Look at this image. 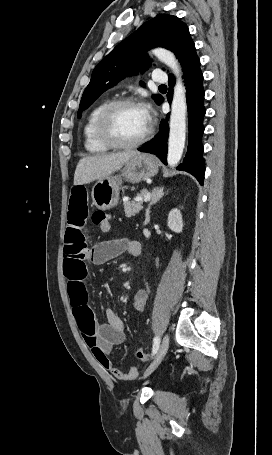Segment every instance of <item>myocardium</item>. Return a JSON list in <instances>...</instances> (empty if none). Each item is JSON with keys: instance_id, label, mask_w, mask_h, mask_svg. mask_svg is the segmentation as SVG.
Here are the masks:
<instances>
[{"instance_id": "1", "label": "myocardium", "mask_w": 272, "mask_h": 455, "mask_svg": "<svg viewBox=\"0 0 272 455\" xmlns=\"http://www.w3.org/2000/svg\"><path fill=\"white\" fill-rule=\"evenodd\" d=\"M125 106H137L140 107V104L133 98L125 97L118 98L113 101H110L99 113L95 131L97 138L101 143L106 145L111 149H133L142 145L149 137L151 133L150 125H147L145 132L137 140L132 142H121L113 135L110 127V121L115 113L121 107Z\"/></svg>"}]
</instances>
